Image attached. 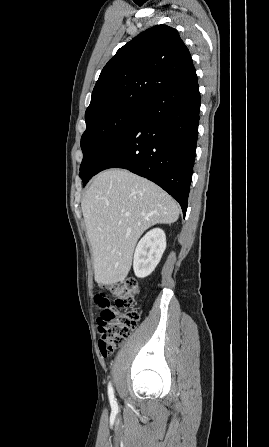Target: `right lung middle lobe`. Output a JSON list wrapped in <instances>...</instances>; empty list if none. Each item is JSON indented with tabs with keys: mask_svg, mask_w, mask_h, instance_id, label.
Segmentation results:
<instances>
[{
	"mask_svg": "<svg viewBox=\"0 0 269 447\" xmlns=\"http://www.w3.org/2000/svg\"><path fill=\"white\" fill-rule=\"evenodd\" d=\"M143 109V104L121 107L86 121V131L81 137L83 160L79 176L82 181L102 153L136 121Z\"/></svg>",
	"mask_w": 269,
	"mask_h": 447,
	"instance_id": "right-lung-middle-lobe-1",
	"label": "right lung middle lobe"
}]
</instances>
